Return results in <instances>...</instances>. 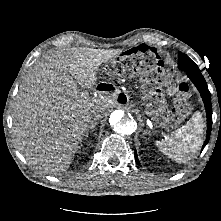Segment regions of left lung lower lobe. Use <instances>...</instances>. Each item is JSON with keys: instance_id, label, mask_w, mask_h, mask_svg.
Instances as JSON below:
<instances>
[{"instance_id": "1", "label": "left lung lower lobe", "mask_w": 221, "mask_h": 221, "mask_svg": "<svg viewBox=\"0 0 221 221\" xmlns=\"http://www.w3.org/2000/svg\"><path fill=\"white\" fill-rule=\"evenodd\" d=\"M186 72H187V76L190 78V80L194 83V85L199 90L201 97L205 104V109H206V114H207V136L202 147V150H203V148L208 143L210 134H211V126H212L211 95L206 85V81L200 71H186ZM135 160L137 164H140L137 158L136 152H135Z\"/></svg>"}]
</instances>
